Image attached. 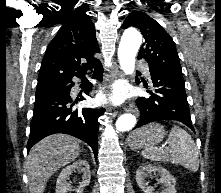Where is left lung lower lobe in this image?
I'll return each instance as SVG.
<instances>
[{"label":"left lung lower lobe","mask_w":221,"mask_h":193,"mask_svg":"<svg viewBox=\"0 0 221 193\" xmlns=\"http://www.w3.org/2000/svg\"><path fill=\"white\" fill-rule=\"evenodd\" d=\"M149 71L155 89L147 91L149 97L136 100L140 119L134 129L154 121L176 120L194 131L182 75L152 67H149Z\"/></svg>","instance_id":"left-lung-lower-lobe-1"}]
</instances>
